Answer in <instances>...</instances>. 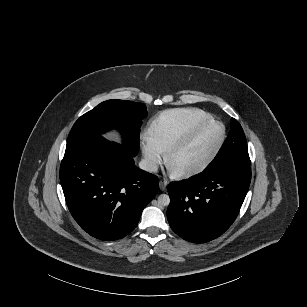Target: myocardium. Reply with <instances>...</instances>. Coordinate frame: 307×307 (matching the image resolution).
<instances>
[{"label": "myocardium", "instance_id": "f54148a6", "mask_svg": "<svg viewBox=\"0 0 307 307\" xmlns=\"http://www.w3.org/2000/svg\"><path fill=\"white\" fill-rule=\"evenodd\" d=\"M215 123H221L224 126V135L221 139V141L219 142V144L217 145V147L214 149V151L202 162H200L199 164L185 169L183 171L180 172H173L171 170V162L174 159V157H176L178 154H180L182 151H184L185 149L189 148L192 144H194L198 138L213 124ZM228 137V129L226 124L221 121V120H210L207 123L203 124L202 126L198 127L196 130H194L191 134H189L184 140H182L181 142L177 143L175 146H173L166 154V165L168 167V169L170 170V172L174 175V177L178 178V179H184V178H188L194 175H197L201 172H203L204 170H206L210 165H212L214 163V161L217 159V157L219 156V154L221 153L226 140Z\"/></svg>", "mask_w": 307, "mask_h": 307}]
</instances>
